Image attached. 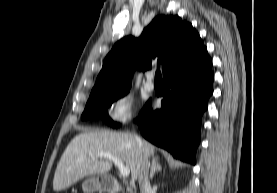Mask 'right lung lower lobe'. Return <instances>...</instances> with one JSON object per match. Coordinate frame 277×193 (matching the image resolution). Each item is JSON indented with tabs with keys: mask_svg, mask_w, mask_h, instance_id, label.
<instances>
[{
	"mask_svg": "<svg viewBox=\"0 0 277 193\" xmlns=\"http://www.w3.org/2000/svg\"><path fill=\"white\" fill-rule=\"evenodd\" d=\"M211 65L205 47L192 59L166 73L163 76L165 87L158 93L163 96L161 109L152 110L149 100L137 119L147 140L175 158L194 164L202 114L213 93Z\"/></svg>",
	"mask_w": 277,
	"mask_h": 193,
	"instance_id": "right-lung-lower-lobe-1",
	"label": "right lung lower lobe"
}]
</instances>
